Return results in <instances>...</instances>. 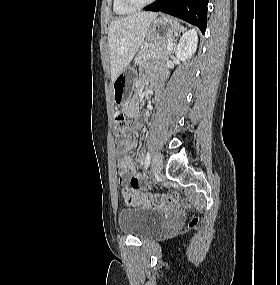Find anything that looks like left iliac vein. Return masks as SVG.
<instances>
[{
	"mask_svg": "<svg viewBox=\"0 0 280 285\" xmlns=\"http://www.w3.org/2000/svg\"><path fill=\"white\" fill-rule=\"evenodd\" d=\"M163 168V159L160 153H156L153 158L152 163V173L154 175H159Z\"/></svg>",
	"mask_w": 280,
	"mask_h": 285,
	"instance_id": "obj_1",
	"label": "left iliac vein"
}]
</instances>
